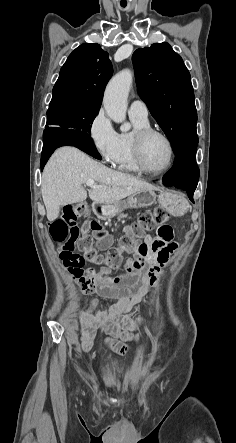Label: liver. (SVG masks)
Listing matches in <instances>:
<instances>
[{"instance_id": "1", "label": "liver", "mask_w": 236, "mask_h": 443, "mask_svg": "<svg viewBox=\"0 0 236 443\" xmlns=\"http://www.w3.org/2000/svg\"><path fill=\"white\" fill-rule=\"evenodd\" d=\"M88 180L101 186L88 192L91 200L101 204H112L154 189L151 184L112 170L74 147H62L54 152L42 173L41 193L49 221L58 217L60 206L86 200L83 184Z\"/></svg>"}]
</instances>
